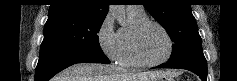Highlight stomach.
Returning a JSON list of instances; mask_svg holds the SVG:
<instances>
[{
    "label": "stomach",
    "mask_w": 237,
    "mask_h": 81,
    "mask_svg": "<svg viewBox=\"0 0 237 81\" xmlns=\"http://www.w3.org/2000/svg\"><path fill=\"white\" fill-rule=\"evenodd\" d=\"M151 81H173V78L171 76L161 75V76L154 78Z\"/></svg>",
    "instance_id": "stomach-1"
}]
</instances>
